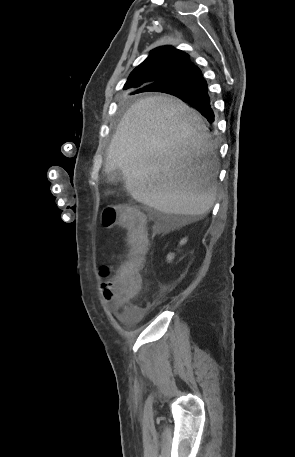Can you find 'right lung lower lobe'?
I'll use <instances>...</instances> for the list:
<instances>
[{"instance_id": "obj_1", "label": "right lung lower lobe", "mask_w": 295, "mask_h": 457, "mask_svg": "<svg viewBox=\"0 0 295 457\" xmlns=\"http://www.w3.org/2000/svg\"><path fill=\"white\" fill-rule=\"evenodd\" d=\"M167 89L175 90L172 95L199 110L208 122H214V113L210 105L206 81L202 76L201 70L193 63L185 66L176 78L142 88L135 93L146 91L162 92Z\"/></svg>"}]
</instances>
